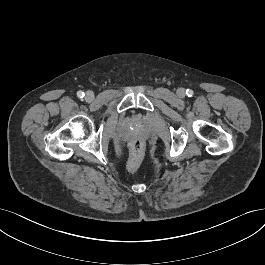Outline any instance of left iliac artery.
Listing matches in <instances>:
<instances>
[{
	"label": "left iliac artery",
	"instance_id": "left-iliac-artery-1",
	"mask_svg": "<svg viewBox=\"0 0 265 265\" xmlns=\"http://www.w3.org/2000/svg\"><path fill=\"white\" fill-rule=\"evenodd\" d=\"M186 94L188 95V97H191L193 95V91L190 89H187Z\"/></svg>",
	"mask_w": 265,
	"mask_h": 265
}]
</instances>
